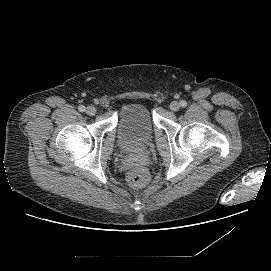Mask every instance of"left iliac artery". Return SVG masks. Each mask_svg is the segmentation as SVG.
I'll return each instance as SVG.
<instances>
[{"label":"left iliac artery","instance_id":"obj_1","mask_svg":"<svg viewBox=\"0 0 271 271\" xmlns=\"http://www.w3.org/2000/svg\"><path fill=\"white\" fill-rule=\"evenodd\" d=\"M180 106L181 107H186L187 106V102L185 100L180 101Z\"/></svg>","mask_w":271,"mask_h":271}]
</instances>
